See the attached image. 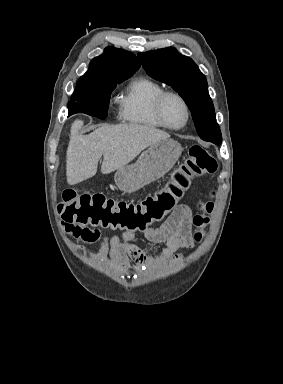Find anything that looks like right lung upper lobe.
I'll use <instances>...</instances> for the list:
<instances>
[{"label": "right lung upper lobe", "instance_id": "1", "mask_svg": "<svg viewBox=\"0 0 283 384\" xmlns=\"http://www.w3.org/2000/svg\"><path fill=\"white\" fill-rule=\"evenodd\" d=\"M139 67L140 64L133 53L108 47L103 55L90 62L89 70L78 80L76 89L123 82Z\"/></svg>", "mask_w": 283, "mask_h": 384}]
</instances>
